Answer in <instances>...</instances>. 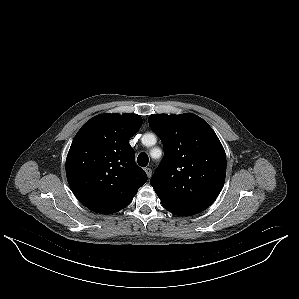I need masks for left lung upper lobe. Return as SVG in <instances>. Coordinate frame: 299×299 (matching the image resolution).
<instances>
[{
    "mask_svg": "<svg viewBox=\"0 0 299 299\" xmlns=\"http://www.w3.org/2000/svg\"><path fill=\"white\" fill-rule=\"evenodd\" d=\"M148 122L161 139L164 158L150 184L162 204L205 210L221 192L226 155L209 124L192 113L153 114Z\"/></svg>",
    "mask_w": 299,
    "mask_h": 299,
    "instance_id": "5c2ea615",
    "label": "left lung upper lobe"
}]
</instances>
